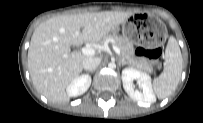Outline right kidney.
I'll return each instance as SVG.
<instances>
[{
    "instance_id": "right-kidney-1",
    "label": "right kidney",
    "mask_w": 203,
    "mask_h": 123,
    "mask_svg": "<svg viewBox=\"0 0 203 123\" xmlns=\"http://www.w3.org/2000/svg\"><path fill=\"white\" fill-rule=\"evenodd\" d=\"M91 85V76L81 75L75 78L67 87L69 97H77L84 94Z\"/></svg>"
}]
</instances>
